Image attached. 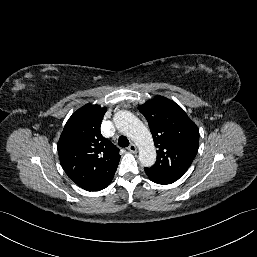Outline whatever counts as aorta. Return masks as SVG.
<instances>
[{
  "instance_id": "aorta-1",
  "label": "aorta",
  "mask_w": 257,
  "mask_h": 257,
  "mask_svg": "<svg viewBox=\"0 0 257 257\" xmlns=\"http://www.w3.org/2000/svg\"><path fill=\"white\" fill-rule=\"evenodd\" d=\"M116 128L130 137L139 147V162L151 167L156 161V150L147 127L130 111H119L114 116Z\"/></svg>"
}]
</instances>
